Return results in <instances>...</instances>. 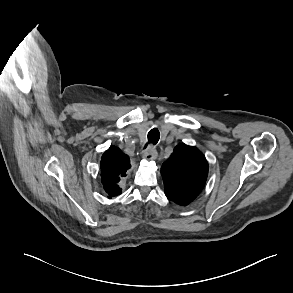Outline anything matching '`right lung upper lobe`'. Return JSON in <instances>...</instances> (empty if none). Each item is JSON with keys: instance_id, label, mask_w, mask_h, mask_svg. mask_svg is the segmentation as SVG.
I'll return each instance as SVG.
<instances>
[{"instance_id": "1", "label": "right lung upper lobe", "mask_w": 293, "mask_h": 293, "mask_svg": "<svg viewBox=\"0 0 293 293\" xmlns=\"http://www.w3.org/2000/svg\"><path fill=\"white\" fill-rule=\"evenodd\" d=\"M130 168L129 157L117 147L111 146L103 153L101 158V178L104 190L109 195V198L121 194L118 183L126 176V172Z\"/></svg>"}]
</instances>
